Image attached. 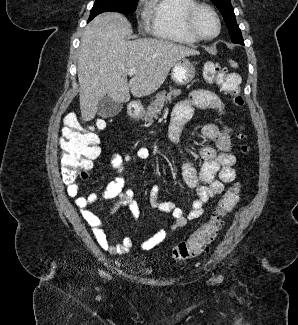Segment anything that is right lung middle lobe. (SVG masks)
Wrapping results in <instances>:
<instances>
[{
	"label": "right lung middle lobe",
	"instance_id": "1",
	"mask_svg": "<svg viewBox=\"0 0 298 325\" xmlns=\"http://www.w3.org/2000/svg\"><path fill=\"white\" fill-rule=\"evenodd\" d=\"M138 0H96L91 9L89 21L100 13L115 11L129 14L135 11Z\"/></svg>",
	"mask_w": 298,
	"mask_h": 325
}]
</instances>
